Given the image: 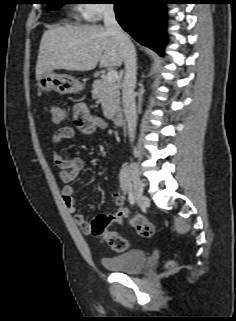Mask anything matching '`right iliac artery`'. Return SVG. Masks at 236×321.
Instances as JSON below:
<instances>
[{"label": "right iliac artery", "instance_id": "1", "mask_svg": "<svg viewBox=\"0 0 236 321\" xmlns=\"http://www.w3.org/2000/svg\"><path fill=\"white\" fill-rule=\"evenodd\" d=\"M128 194H129V202L131 205H133L135 203V198H134L133 192L131 191V186H130V192Z\"/></svg>", "mask_w": 236, "mask_h": 321}]
</instances>
